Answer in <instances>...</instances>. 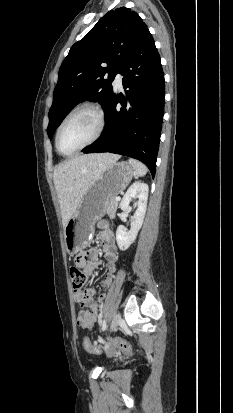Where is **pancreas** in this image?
Wrapping results in <instances>:
<instances>
[{
  "instance_id": "pancreas-1",
  "label": "pancreas",
  "mask_w": 233,
  "mask_h": 413,
  "mask_svg": "<svg viewBox=\"0 0 233 413\" xmlns=\"http://www.w3.org/2000/svg\"><path fill=\"white\" fill-rule=\"evenodd\" d=\"M117 206H118V201H116L115 197L111 198L108 204L106 205V212L110 217L115 216Z\"/></svg>"
}]
</instances>
